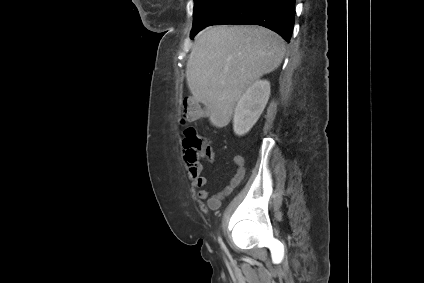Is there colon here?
I'll return each mask as SVG.
<instances>
[{
	"label": "colon",
	"mask_w": 424,
	"mask_h": 283,
	"mask_svg": "<svg viewBox=\"0 0 424 283\" xmlns=\"http://www.w3.org/2000/svg\"><path fill=\"white\" fill-rule=\"evenodd\" d=\"M203 110L200 105L193 99L185 100L182 110V123L193 122L201 117ZM185 145L189 148V158L197 161L198 157L207 159L213 158V149L210 144L206 143L199 137L194 129H189L186 132Z\"/></svg>",
	"instance_id": "5ec220e1"
}]
</instances>
